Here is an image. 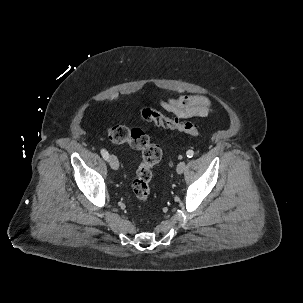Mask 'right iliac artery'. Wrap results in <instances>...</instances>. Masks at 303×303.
Listing matches in <instances>:
<instances>
[{
    "instance_id": "1",
    "label": "right iliac artery",
    "mask_w": 303,
    "mask_h": 303,
    "mask_svg": "<svg viewBox=\"0 0 303 303\" xmlns=\"http://www.w3.org/2000/svg\"><path fill=\"white\" fill-rule=\"evenodd\" d=\"M101 155L103 156V158H104L105 160H108V159H109V154H108V152H107L105 149H102V150H101Z\"/></svg>"
}]
</instances>
